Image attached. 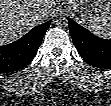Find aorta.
I'll use <instances>...</instances> for the list:
<instances>
[{
	"label": "aorta",
	"mask_w": 111,
	"mask_h": 106,
	"mask_svg": "<svg viewBox=\"0 0 111 106\" xmlns=\"http://www.w3.org/2000/svg\"><path fill=\"white\" fill-rule=\"evenodd\" d=\"M56 24L59 27H66L68 26V20L65 17H59L56 21Z\"/></svg>",
	"instance_id": "aorta-1"
}]
</instances>
